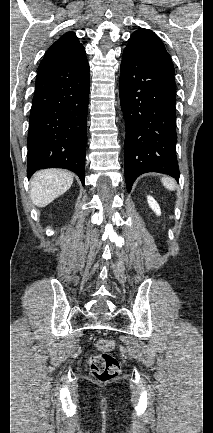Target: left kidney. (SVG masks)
<instances>
[{"label":"left kidney","mask_w":213,"mask_h":433,"mask_svg":"<svg viewBox=\"0 0 213 433\" xmlns=\"http://www.w3.org/2000/svg\"><path fill=\"white\" fill-rule=\"evenodd\" d=\"M147 202L149 204V207L156 213V215H161V209L152 196H147Z\"/></svg>","instance_id":"obj_1"}]
</instances>
